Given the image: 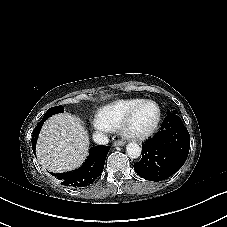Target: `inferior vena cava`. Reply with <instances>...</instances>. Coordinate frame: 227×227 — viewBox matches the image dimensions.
<instances>
[{
    "mask_svg": "<svg viewBox=\"0 0 227 227\" xmlns=\"http://www.w3.org/2000/svg\"><path fill=\"white\" fill-rule=\"evenodd\" d=\"M93 140L95 143L100 145H106L109 142L108 136L101 131H97L96 133L93 134Z\"/></svg>",
    "mask_w": 227,
    "mask_h": 227,
    "instance_id": "1",
    "label": "inferior vena cava"
}]
</instances>
